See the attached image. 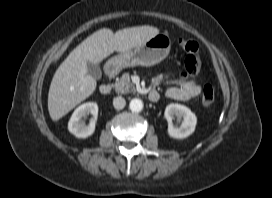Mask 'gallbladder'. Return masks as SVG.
Here are the masks:
<instances>
[{
  "mask_svg": "<svg viewBox=\"0 0 272 198\" xmlns=\"http://www.w3.org/2000/svg\"><path fill=\"white\" fill-rule=\"evenodd\" d=\"M87 69H88V74L92 76L94 79H100L102 76V71L100 67L97 64H93L88 62L87 63Z\"/></svg>",
  "mask_w": 272,
  "mask_h": 198,
  "instance_id": "1",
  "label": "gallbladder"
}]
</instances>
